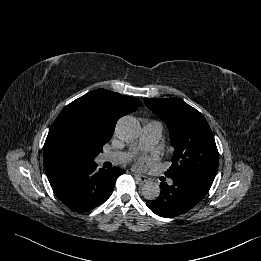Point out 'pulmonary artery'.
I'll list each match as a JSON object with an SVG mask.
<instances>
[{"mask_svg": "<svg viewBox=\"0 0 261 261\" xmlns=\"http://www.w3.org/2000/svg\"><path fill=\"white\" fill-rule=\"evenodd\" d=\"M163 127L159 122L152 121L146 123L141 132L140 146L149 149L156 145L162 135ZM130 154L127 152H108L99 157L100 162H112L116 164L125 163L129 160ZM171 183V181L169 182Z\"/></svg>", "mask_w": 261, "mask_h": 261, "instance_id": "e3ab8cb5", "label": "pulmonary artery"}]
</instances>
